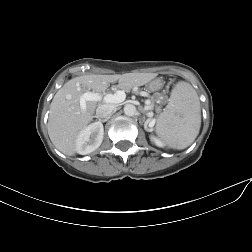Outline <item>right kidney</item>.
<instances>
[{
  "label": "right kidney",
  "mask_w": 252,
  "mask_h": 252,
  "mask_svg": "<svg viewBox=\"0 0 252 252\" xmlns=\"http://www.w3.org/2000/svg\"><path fill=\"white\" fill-rule=\"evenodd\" d=\"M104 128L101 122H94L85 127L75 143L76 152L87 155L99 148L103 141Z\"/></svg>",
  "instance_id": "ca27d5eb"
}]
</instances>
